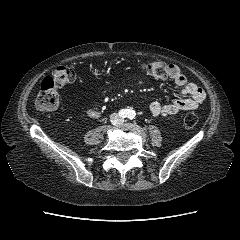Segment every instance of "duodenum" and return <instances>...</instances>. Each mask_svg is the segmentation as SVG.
<instances>
[{
  "instance_id": "1",
  "label": "duodenum",
  "mask_w": 240,
  "mask_h": 240,
  "mask_svg": "<svg viewBox=\"0 0 240 240\" xmlns=\"http://www.w3.org/2000/svg\"><path fill=\"white\" fill-rule=\"evenodd\" d=\"M90 113H91L92 115H96V114H97L96 111H90Z\"/></svg>"
}]
</instances>
